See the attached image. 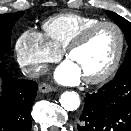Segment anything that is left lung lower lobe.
<instances>
[{
  "instance_id": "left-lung-lower-lobe-1",
  "label": "left lung lower lobe",
  "mask_w": 131,
  "mask_h": 131,
  "mask_svg": "<svg viewBox=\"0 0 131 131\" xmlns=\"http://www.w3.org/2000/svg\"><path fill=\"white\" fill-rule=\"evenodd\" d=\"M78 131H131V75L114 78L86 94Z\"/></svg>"
}]
</instances>
